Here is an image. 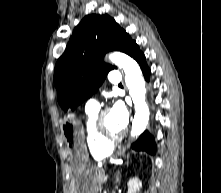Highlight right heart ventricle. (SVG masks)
I'll return each mask as SVG.
<instances>
[{"mask_svg":"<svg viewBox=\"0 0 221 193\" xmlns=\"http://www.w3.org/2000/svg\"><path fill=\"white\" fill-rule=\"evenodd\" d=\"M98 115V111L87 112L85 120V137L89 152L93 158H104L108 156L113 149V146L103 143L96 131L95 122Z\"/></svg>","mask_w":221,"mask_h":193,"instance_id":"e07e8e85","label":"right heart ventricle"}]
</instances>
